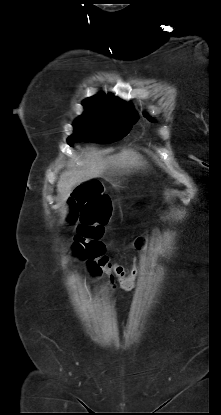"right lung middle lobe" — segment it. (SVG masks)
Segmentation results:
<instances>
[{
	"label": "right lung middle lobe",
	"mask_w": 221,
	"mask_h": 415,
	"mask_svg": "<svg viewBox=\"0 0 221 415\" xmlns=\"http://www.w3.org/2000/svg\"><path fill=\"white\" fill-rule=\"evenodd\" d=\"M85 112L74 123V133L67 142L109 143L116 141L129 133L137 122L136 113L125 110H109L84 106Z\"/></svg>",
	"instance_id": "right-lung-middle-lobe-1"
}]
</instances>
